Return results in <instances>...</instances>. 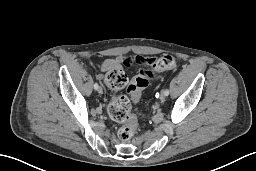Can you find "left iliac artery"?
<instances>
[{"mask_svg": "<svg viewBox=\"0 0 256 171\" xmlns=\"http://www.w3.org/2000/svg\"><path fill=\"white\" fill-rule=\"evenodd\" d=\"M164 94H165L166 96H168V95H169V90H168V89L164 90Z\"/></svg>", "mask_w": 256, "mask_h": 171, "instance_id": "1", "label": "left iliac artery"}]
</instances>
